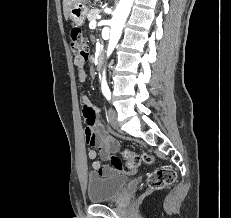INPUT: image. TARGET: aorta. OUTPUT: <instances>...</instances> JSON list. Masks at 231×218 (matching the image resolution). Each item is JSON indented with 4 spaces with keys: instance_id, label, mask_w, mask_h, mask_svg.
Here are the masks:
<instances>
[{
    "instance_id": "762f6f07",
    "label": "aorta",
    "mask_w": 231,
    "mask_h": 218,
    "mask_svg": "<svg viewBox=\"0 0 231 218\" xmlns=\"http://www.w3.org/2000/svg\"><path fill=\"white\" fill-rule=\"evenodd\" d=\"M133 1L134 0H120L114 12L113 18L111 20V31L110 40L107 48V57L111 55L120 39L124 23L129 15ZM101 86L103 91L108 89V85L105 78V72H103Z\"/></svg>"
}]
</instances>
